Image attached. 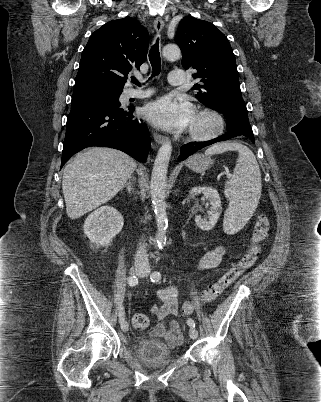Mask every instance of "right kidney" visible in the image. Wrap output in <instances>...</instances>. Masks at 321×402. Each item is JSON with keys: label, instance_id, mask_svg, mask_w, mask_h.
Listing matches in <instances>:
<instances>
[{"label": "right kidney", "instance_id": "right-kidney-1", "mask_svg": "<svg viewBox=\"0 0 321 402\" xmlns=\"http://www.w3.org/2000/svg\"><path fill=\"white\" fill-rule=\"evenodd\" d=\"M122 215L112 206H102L85 220L84 233L94 246H108L122 230Z\"/></svg>", "mask_w": 321, "mask_h": 402}]
</instances>
